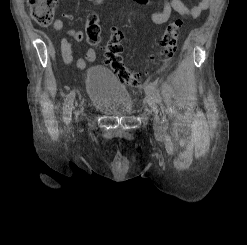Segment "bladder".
Returning <instances> with one entry per match:
<instances>
[{"label": "bladder", "mask_w": 247, "mask_h": 245, "mask_svg": "<svg viewBox=\"0 0 247 245\" xmlns=\"http://www.w3.org/2000/svg\"><path fill=\"white\" fill-rule=\"evenodd\" d=\"M85 82L89 101L103 113L118 116L132 113L133 103L129 90L108 68H89Z\"/></svg>", "instance_id": "1"}]
</instances>
